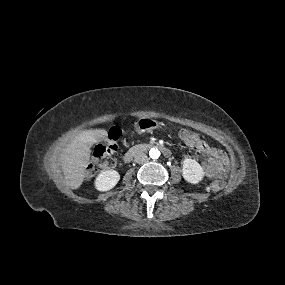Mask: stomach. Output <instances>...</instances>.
I'll use <instances>...</instances> for the list:
<instances>
[{
    "label": "stomach",
    "instance_id": "stomach-1",
    "mask_svg": "<svg viewBox=\"0 0 285 285\" xmlns=\"http://www.w3.org/2000/svg\"><path fill=\"white\" fill-rule=\"evenodd\" d=\"M158 127V122L152 120H142L139 124L140 131L151 130Z\"/></svg>",
    "mask_w": 285,
    "mask_h": 285
}]
</instances>
